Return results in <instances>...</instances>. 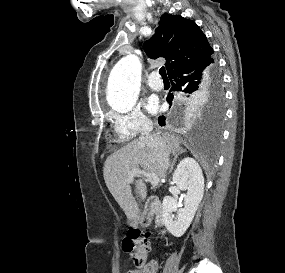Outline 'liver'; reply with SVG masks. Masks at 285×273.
I'll list each match as a JSON object with an SVG mask.
<instances>
[{
	"instance_id": "6515ba94",
	"label": "liver",
	"mask_w": 285,
	"mask_h": 273,
	"mask_svg": "<svg viewBox=\"0 0 285 273\" xmlns=\"http://www.w3.org/2000/svg\"><path fill=\"white\" fill-rule=\"evenodd\" d=\"M161 139L168 154H174L181 149V141L177 136L164 134ZM140 167L147 172L155 173L161 179L166 177V171L159 163L155 147L141 140H134L111 154L106 159L103 168L108 190L124 210L132 225L137 224L140 210L127 179L132 169ZM135 187L137 198L144 200L147 196V189L143 179L137 180Z\"/></svg>"
}]
</instances>
